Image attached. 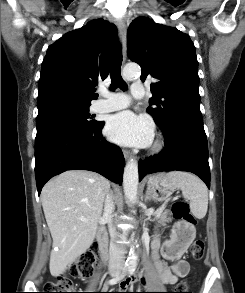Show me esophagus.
<instances>
[{"mask_svg": "<svg viewBox=\"0 0 245 293\" xmlns=\"http://www.w3.org/2000/svg\"><path fill=\"white\" fill-rule=\"evenodd\" d=\"M117 27L121 34V44H122V55L123 59L126 57V44H127V30H126V24L123 19L117 20ZM123 155L125 159L130 158V152L128 150H123Z\"/></svg>", "mask_w": 245, "mask_h": 293, "instance_id": "obj_1", "label": "esophagus"}]
</instances>
